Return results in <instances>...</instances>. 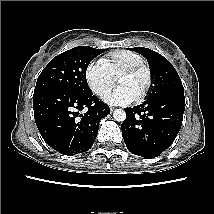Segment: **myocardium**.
<instances>
[{
  "label": "myocardium",
  "mask_w": 214,
  "mask_h": 214,
  "mask_svg": "<svg viewBox=\"0 0 214 214\" xmlns=\"http://www.w3.org/2000/svg\"><path fill=\"white\" fill-rule=\"evenodd\" d=\"M140 74L144 76V85L141 93L137 96L138 101L143 100L151 88L153 76L150 67L145 63H140L123 70L119 75L136 76Z\"/></svg>",
  "instance_id": "1"
}]
</instances>
